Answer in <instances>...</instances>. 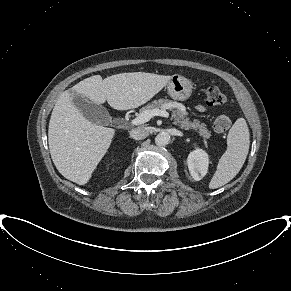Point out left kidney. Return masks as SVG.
<instances>
[{
	"label": "left kidney",
	"mask_w": 291,
	"mask_h": 291,
	"mask_svg": "<svg viewBox=\"0 0 291 291\" xmlns=\"http://www.w3.org/2000/svg\"><path fill=\"white\" fill-rule=\"evenodd\" d=\"M209 164L208 154L197 148L194 151L190 152L187 158V165L189 172L194 180H201L207 173Z\"/></svg>",
	"instance_id": "5707ae66"
}]
</instances>
